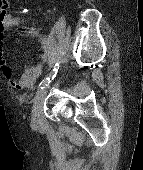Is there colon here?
<instances>
[{
    "instance_id": "colon-1",
    "label": "colon",
    "mask_w": 143,
    "mask_h": 170,
    "mask_svg": "<svg viewBox=\"0 0 143 170\" xmlns=\"http://www.w3.org/2000/svg\"><path fill=\"white\" fill-rule=\"evenodd\" d=\"M7 0H0V17H4L7 14Z\"/></svg>"
}]
</instances>
